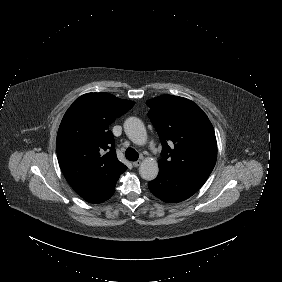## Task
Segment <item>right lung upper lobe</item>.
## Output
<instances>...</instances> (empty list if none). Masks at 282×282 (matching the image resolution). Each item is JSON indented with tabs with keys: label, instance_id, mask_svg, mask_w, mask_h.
<instances>
[{
	"label": "right lung upper lobe",
	"instance_id": "cb5924a9",
	"mask_svg": "<svg viewBox=\"0 0 282 282\" xmlns=\"http://www.w3.org/2000/svg\"><path fill=\"white\" fill-rule=\"evenodd\" d=\"M134 104L105 92L87 93L65 113L56 140L58 162L84 200L110 187L127 169L116 157L110 125Z\"/></svg>",
	"mask_w": 282,
	"mask_h": 282
}]
</instances>
